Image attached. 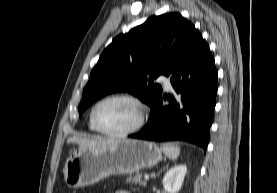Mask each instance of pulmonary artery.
Here are the masks:
<instances>
[{
    "label": "pulmonary artery",
    "instance_id": "pulmonary-artery-1",
    "mask_svg": "<svg viewBox=\"0 0 277 193\" xmlns=\"http://www.w3.org/2000/svg\"><path fill=\"white\" fill-rule=\"evenodd\" d=\"M158 81L163 84V86L165 87V89L169 90L171 89L172 85H171V81H170V78L169 76L167 75H160L158 77Z\"/></svg>",
    "mask_w": 277,
    "mask_h": 193
}]
</instances>
